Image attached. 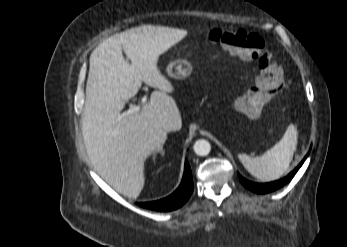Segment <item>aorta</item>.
<instances>
[{
    "mask_svg": "<svg viewBox=\"0 0 347 247\" xmlns=\"http://www.w3.org/2000/svg\"><path fill=\"white\" fill-rule=\"evenodd\" d=\"M193 150L198 156H207L210 153L211 145L207 140L199 139L194 143Z\"/></svg>",
    "mask_w": 347,
    "mask_h": 247,
    "instance_id": "aorta-1",
    "label": "aorta"
}]
</instances>
